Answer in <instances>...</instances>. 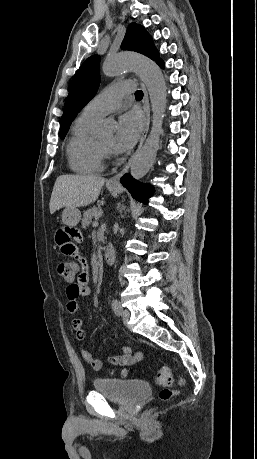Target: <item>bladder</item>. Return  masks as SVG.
<instances>
[{
  "mask_svg": "<svg viewBox=\"0 0 257 459\" xmlns=\"http://www.w3.org/2000/svg\"><path fill=\"white\" fill-rule=\"evenodd\" d=\"M95 391L120 404H133L147 397L150 386L141 380H121L109 377H97L93 380Z\"/></svg>",
  "mask_w": 257,
  "mask_h": 459,
  "instance_id": "bladder-1",
  "label": "bladder"
}]
</instances>
